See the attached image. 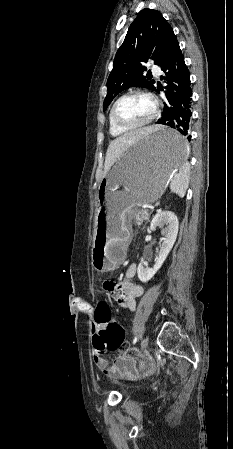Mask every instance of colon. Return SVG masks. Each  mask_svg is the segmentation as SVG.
Here are the masks:
<instances>
[{"instance_id":"obj_1","label":"colon","mask_w":233,"mask_h":449,"mask_svg":"<svg viewBox=\"0 0 233 449\" xmlns=\"http://www.w3.org/2000/svg\"><path fill=\"white\" fill-rule=\"evenodd\" d=\"M112 316V310H109L106 305L94 311L95 319L91 320L93 333L96 334L93 339L94 348L100 352L122 351L133 355L135 350L128 347L123 326Z\"/></svg>"}]
</instances>
